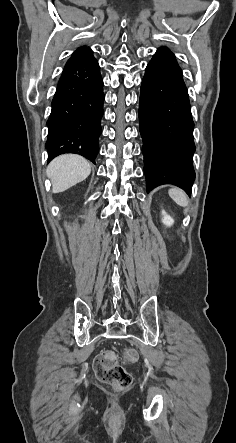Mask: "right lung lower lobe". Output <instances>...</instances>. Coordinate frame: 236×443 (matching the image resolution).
<instances>
[{"mask_svg":"<svg viewBox=\"0 0 236 443\" xmlns=\"http://www.w3.org/2000/svg\"><path fill=\"white\" fill-rule=\"evenodd\" d=\"M103 101L97 60L71 57L62 72L47 121L48 161L60 154L76 153L95 163Z\"/></svg>","mask_w":236,"mask_h":443,"instance_id":"right-lung-lower-lobe-1","label":"right lung lower lobe"}]
</instances>
